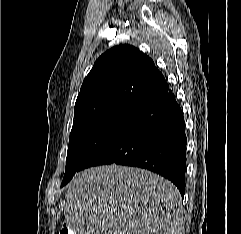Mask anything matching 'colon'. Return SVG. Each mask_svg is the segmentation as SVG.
I'll list each match as a JSON object with an SVG mask.
<instances>
[{
  "instance_id": "5ec220e1",
  "label": "colon",
  "mask_w": 241,
  "mask_h": 234,
  "mask_svg": "<svg viewBox=\"0 0 241 234\" xmlns=\"http://www.w3.org/2000/svg\"><path fill=\"white\" fill-rule=\"evenodd\" d=\"M60 234H70V231L67 227H62Z\"/></svg>"
}]
</instances>
